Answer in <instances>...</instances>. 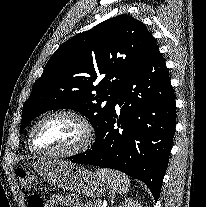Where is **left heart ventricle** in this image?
<instances>
[{
	"instance_id": "1",
	"label": "left heart ventricle",
	"mask_w": 206,
	"mask_h": 207,
	"mask_svg": "<svg viewBox=\"0 0 206 207\" xmlns=\"http://www.w3.org/2000/svg\"><path fill=\"white\" fill-rule=\"evenodd\" d=\"M85 137L82 125L70 117H55L44 121L35 131L37 147L64 150L79 145Z\"/></svg>"
}]
</instances>
